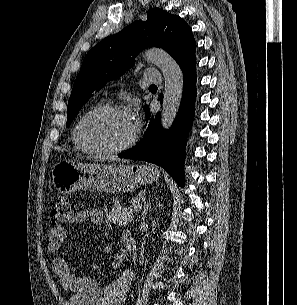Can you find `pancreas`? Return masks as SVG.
<instances>
[{
	"label": "pancreas",
	"mask_w": 297,
	"mask_h": 305,
	"mask_svg": "<svg viewBox=\"0 0 297 305\" xmlns=\"http://www.w3.org/2000/svg\"><path fill=\"white\" fill-rule=\"evenodd\" d=\"M113 208L112 211L109 212L108 218L111 220L114 224L118 225H127L131 223L133 220V205L129 207L123 206L119 200L114 199L113 200Z\"/></svg>",
	"instance_id": "cf45deb5"
}]
</instances>
